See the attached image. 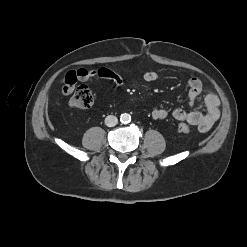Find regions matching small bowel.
Masks as SVG:
<instances>
[{
  "label": "small bowel",
  "instance_id": "c3829d8e",
  "mask_svg": "<svg viewBox=\"0 0 247 247\" xmlns=\"http://www.w3.org/2000/svg\"><path fill=\"white\" fill-rule=\"evenodd\" d=\"M92 78H103L111 80L116 86L123 84V77L105 67L97 69L79 68L69 71L62 80V93L71 94L78 82H86ZM160 78V74L155 71L146 72L143 79L146 82H155ZM188 96L190 106L202 101L206 107V112L200 110L185 111L183 109H174L169 111L165 108L154 106L151 115L154 119L162 120L171 116L173 119L186 122L191 126L198 128L200 132H207L215 124L220 116L219 99L217 95L209 90L204 89L200 79L192 77L188 80Z\"/></svg>",
  "mask_w": 247,
  "mask_h": 247
}]
</instances>
